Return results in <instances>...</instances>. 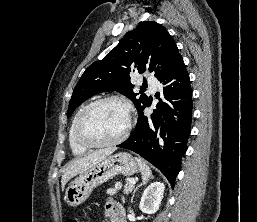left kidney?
<instances>
[{"instance_id": "left-kidney-1", "label": "left kidney", "mask_w": 257, "mask_h": 222, "mask_svg": "<svg viewBox=\"0 0 257 222\" xmlns=\"http://www.w3.org/2000/svg\"><path fill=\"white\" fill-rule=\"evenodd\" d=\"M165 185L160 181L151 183L143 192L139 208L143 213H156L160 207Z\"/></svg>"}]
</instances>
